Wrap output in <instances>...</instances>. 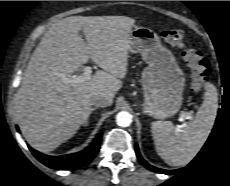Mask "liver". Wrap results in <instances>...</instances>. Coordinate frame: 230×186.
I'll return each instance as SVG.
<instances>
[{
  "mask_svg": "<svg viewBox=\"0 0 230 186\" xmlns=\"http://www.w3.org/2000/svg\"><path fill=\"white\" fill-rule=\"evenodd\" d=\"M134 23L126 16H71L48 29L15 99L17 121L31 147L48 153L70 139L91 114L93 96L103 94L112 104L127 74ZM89 59L103 70L76 86L69 84L66 79Z\"/></svg>",
  "mask_w": 230,
  "mask_h": 186,
  "instance_id": "6515ba94",
  "label": "liver"
}]
</instances>
